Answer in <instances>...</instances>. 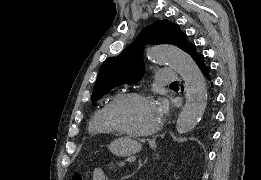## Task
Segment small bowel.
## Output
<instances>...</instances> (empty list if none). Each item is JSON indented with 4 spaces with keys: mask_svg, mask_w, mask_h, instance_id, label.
I'll return each mask as SVG.
<instances>
[{
    "mask_svg": "<svg viewBox=\"0 0 261 180\" xmlns=\"http://www.w3.org/2000/svg\"><path fill=\"white\" fill-rule=\"evenodd\" d=\"M93 178L94 180H105V174L101 169H94L93 170Z\"/></svg>",
    "mask_w": 261,
    "mask_h": 180,
    "instance_id": "1",
    "label": "small bowel"
}]
</instances>
